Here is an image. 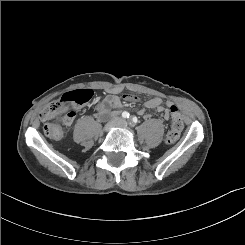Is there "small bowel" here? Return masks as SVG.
<instances>
[{
  "instance_id": "obj_1",
  "label": "small bowel",
  "mask_w": 245,
  "mask_h": 245,
  "mask_svg": "<svg viewBox=\"0 0 245 245\" xmlns=\"http://www.w3.org/2000/svg\"><path fill=\"white\" fill-rule=\"evenodd\" d=\"M123 101H125L128 104H134L138 101V97L132 94H126L123 96ZM121 105L122 101L119 97L109 96L98 102L96 106V116L98 118H104L111 112L112 109H117ZM168 105L169 102H166L159 97L151 98L145 103L146 108L155 110L159 113H163L164 118L167 121L170 119V116L166 109V106ZM138 113L140 115L148 117V114L146 113L145 109H140Z\"/></svg>"
}]
</instances>
